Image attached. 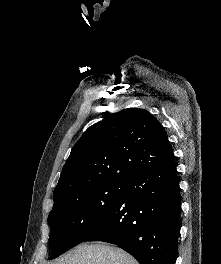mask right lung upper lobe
I'll return each instance as SVG.
<instances>
[{
	"mask_svg": "<svg viewBox=\"0 0 221 264\" xmlns=\"http://www.w3.org/2000/svg\"><path fill=\"white\" fill-rule=\"evenodd\" d=\"M173 158L164 128L148 111L129 108L108 115L72 148L53 192V207L75 193L125 182Z\"/></svg>",
	"mask_w": 221,
	"mask_h": 264,
	"instance_id": "1",
	"label": "right lung upper lobe"
}]
</instances>
